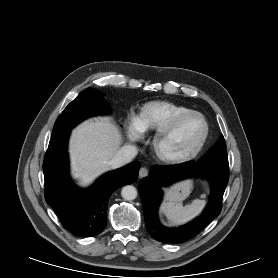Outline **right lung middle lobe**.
Listing matches in <instances>:
<instances>
[{
    "instance_id": "right-lung-middle-lobe-1",
    "label": "right lung middle lobe",
    "mask_w": 278,
    "mask_h": 278,
    "mask_svg": "<svg viewBox=\"0 0 278 278\" xmlns=\"http://www.w3.org/2000/svg\"><path fill=\"white\" fill-rule=\"evenodd\" d=\"M108 104L103 99V93L88 88L70 102L53 127L52 138L70 131L78 123L93 115L105 113Z\"/></svg>"
}]
</instances>
